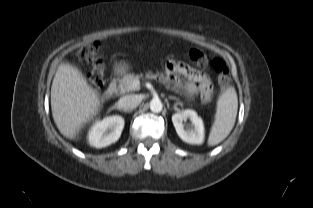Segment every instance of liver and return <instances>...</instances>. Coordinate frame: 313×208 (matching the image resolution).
Segmentation results:
<instances>
[{"instance_id":"obj_1","label":"liver","mask_w":313,"mask_h":208,"mask_svg":"<svg viewBox=\"0 0 313 208\" xmlns=\"http://www.w3.org/2000/svg\"><path fill=\"white\" fill-rule=\"evenodd\" d=\"M99 99L79 71L69 64L58 66L51 86V109L60 133L74 139L99 111Z\"/></svg>"}]
</instances>
